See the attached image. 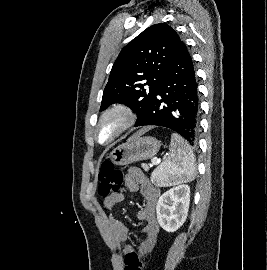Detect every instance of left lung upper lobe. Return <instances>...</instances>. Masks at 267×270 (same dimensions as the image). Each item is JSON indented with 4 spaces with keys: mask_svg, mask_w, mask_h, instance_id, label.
I'll use <instances>...</instances> for the list:
<instances>
[{
    "mask_svg": "<svg viewBox=\"0 0 267 270\" xmlns=\"http://www.w3.org/2000/svg\"><path fill=\"white\" fill-rule=\"evenodd\" d=\"M181 42L175 30L159 23L128 43L114 62L100 110L124 103L137 113L138 123L153 102Z\"/></svg>",
    "mask_w": 267,
    "mask_h": 270,
    "instance_id": "5c2ea615",
    "label": "left lung upper lobe"
}]
</instances>
